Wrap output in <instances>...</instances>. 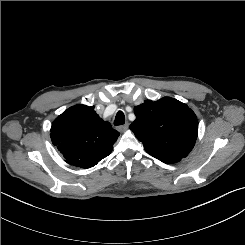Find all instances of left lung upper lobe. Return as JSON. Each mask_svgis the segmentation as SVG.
Masks as SVG:
<instances>
[{
  "mask_svg": "<svg viewBox=\"0 0 245 245\" xmlns=\"http://www.w3.org/2000/svg\"><path fill=\"white\" fill-rule=\"evenodd\" d=\"M134 114L129 128L150 155L181 160L194 147L198 121L186 104L170 97L146 100L134 107Z\"/></svg>",
  "mask_w": 245,
  "mask_h": 245,
  "instance_id": "obj_1",
  "label": "left lung upper lobe"
}]
</instances>
